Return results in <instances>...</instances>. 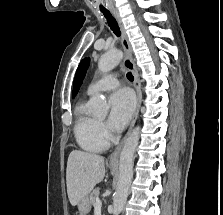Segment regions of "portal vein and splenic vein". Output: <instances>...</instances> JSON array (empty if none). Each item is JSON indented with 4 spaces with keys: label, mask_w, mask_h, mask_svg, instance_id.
Here are the masks:
<instances>
[{
    "label": "portal vein and splenic vein",
    "mask_w": 223,
    "mask_h": 215,
    "mask_svg": "<svg viewBox=\"0 0 223 215\" xmlns=\"http://www.w3.org/2000/svg\"><path fill=\"white\" fill-rule=\"evenodd\" d=\"M95 209H99V207H102V201L99 199V197H96V203H94Z\"/></svg>",
    "instance_id": "18ae733b"
}]
</instances>
